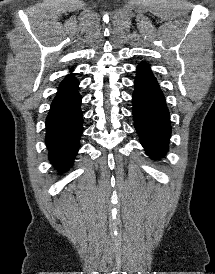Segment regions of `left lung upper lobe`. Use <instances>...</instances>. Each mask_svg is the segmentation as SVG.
I'll return each instance as SVG.
<instances>
[{
  "label": "left lung upper lobe",
  "mask_w": 215,
  "mask_h": 274,
  "mask_svg": "<svg viewBox=\"0 0 215 274\" xmlns=\"http://www.w3.org/2000/svg\"><path fill=\"white\" fill-rule=\"evenodd\" d=\"M143 66H149L146 62H142Z\"/></svg>",
  "instance_id": "obj_1"
}]
</instances>
